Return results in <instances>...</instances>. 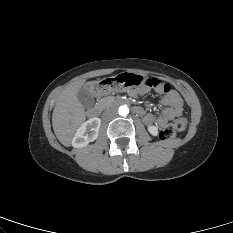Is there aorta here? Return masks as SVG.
Listing matches in <instances>:
<instances>
[{
  "mask_svg": "<svg viewBox=\"0 0 233 233\" xmlns=\"http://www.w3.org/2000/svg\"><path fill=\"white\" fill-rule=\"evenodd\" d=\"M118 113L121 116H126L129 113V108L126 105H122L119 107Z\"/></svg>",
  "mask_w": 233,
  "mask_h": 233,
  "instance_id": "aorta-1",
  "label": "aorta"
}]
</instances>
